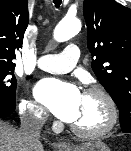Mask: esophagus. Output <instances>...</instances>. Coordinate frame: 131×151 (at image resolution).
I'll return each mask as SVG.
<instances>
[{
  "label": "esophagus",
  "mask_w": 131,
  "mask_h": 151,
  "mask_svg": "<svg viewBox=\"0 0 131 151\" xmlns=\"http://www.w3.org/2000/svg\"><path fill=\"white\" fill-rule=\"evenodd\" d=\"M58 147L62 150H66L70 148V145L69 143L63 141L58 143Z\"/></svg>",
  "instance_id": "obj_1"
}]
</instances>
